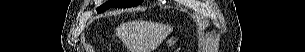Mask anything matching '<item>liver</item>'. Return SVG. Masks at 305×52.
I'll return each mask as SVG.
<instances>
[{
  "mask_svg": "<svg viewBox=\"0 0 305 52\" xmlns=\"http://www.w3.org/2000/svg\"><path fill=\"white\" fill-rule=\"evenodd\" d=\"M132 27V23H126L124 25H122L121 27H119L117 30L118 31H122L125 29H128ZM158 31V36L154 39L152 45L153 47H157L160 45V43H162L163 40H165L167 38V36L171 33L172 28L170 26H159L157 28Z\"/></svg>",
  "mask_w": 305,
  "mask_h": 52,
  "instance_id": "liver-1",
  "label": "liver"
}]
</instances>
